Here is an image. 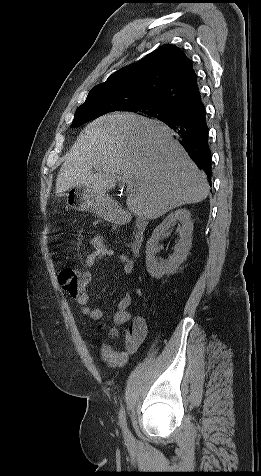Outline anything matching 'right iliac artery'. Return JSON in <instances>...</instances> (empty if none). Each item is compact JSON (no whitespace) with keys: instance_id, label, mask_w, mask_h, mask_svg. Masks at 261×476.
I'll return each instance as SVG.
<instances>
[{"instance_id":"82829eb1","label":"right iliac artery","mask_w":261,"mask_h":476,"mask_svg":"<svg viewBox=\"0 0 261 476\" xmlns=\"http://www.w3.org/2000/svg\"><path fill=\"white\" fill-rule=\"evenodd\" d=\"M119 420H120V425L122 427V430L124 433L127 431V423H126V416H125V410L122 407L119 412Z\"/></svg>"}]
</instances>
